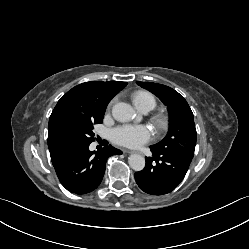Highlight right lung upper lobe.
Returning a JSON list of instances; mask_svg holds the SVG:
<instances>
[{
    "label": "right lung upper lobe",
    "mask_w": 249,
    "mask_h": 249,
    "mask_svg": "<svg viewBox=\"0 0 249 249\" xmlns=\"http://www.w3.org/2000/svg\"><path fill=\"white\" fill-rule=\"evenodd\" d=\"M126 85L127 82L118 81L86 82L72 88L58 101L48 125V147L53 164L73 149L68 136L70 128L104 115L110 100Z\"/></svg>",
    "instance_id": "cb5924a9"
}]
</instances>
